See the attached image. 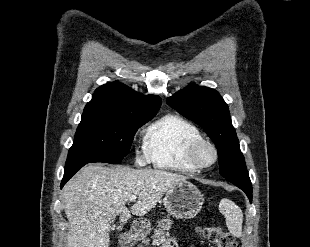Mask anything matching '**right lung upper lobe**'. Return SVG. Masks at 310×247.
<instances>
[{
	"label": "right lung upper lobe",
	"instance_id": "1",
	"mask_svg": "<svg viewBox=\"0 0 310 247\" xmlns=\"http://www.w3.org/2000/svg\"><path fill=\"white\" fill-rule=\"evenodd\" d=\"M161 105V98L144 96L126 85L107 83L93 94L84 108L83 115H115L131 118L155 116Z\"/></svg>",
	"mask_w": 310,
	"mask_h": 247
}]
</instances>
